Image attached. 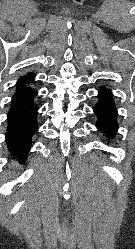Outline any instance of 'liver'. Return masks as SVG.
Masks as SVG:
<instances>
[{
	"mask_svg": "<svg viewBox=\"0 0 135 249\" xmlns=\"http://www.w3.org/2000/svg\"><path fill=\"white\" fill-rule=\"evenodd\" d=\"M12 166H16V167H19V165H18V164H16V165H15L14 163H12Z\"/></svg>",
	"mask_w": 135,
	"mask_h": 249,
	"instance_id": "1",
	"label": "liver"
}]
</instances>
